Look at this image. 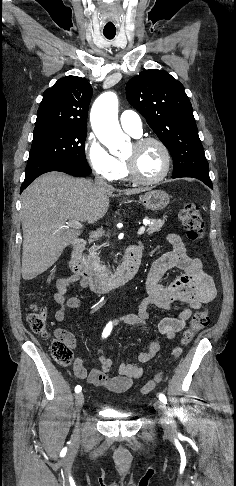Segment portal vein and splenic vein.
<instances>
[{
  "instance_id": "obj_1",
  "label": "portal vein and splenic vein",
  "mask_w": 236,
  "mask_h": 486,
  "mask_svg": "<svg viewBox=\"0 0 236 486\" xmlns=\"http://www.w3.org/2000/svg\"><path fill=\"white\" fill-rule=\"evenodd\" d=\"M71 226H72V227H75V228H82V227H83V225H82L80 222H77V221L72 222V223H71ZM144 231H145V226H142V227H140V229L138 230L137 234H138V235H142V234L144 233Z\"/></svg>"
}]
</instances>
